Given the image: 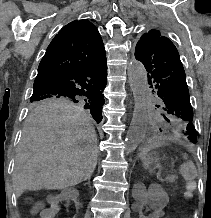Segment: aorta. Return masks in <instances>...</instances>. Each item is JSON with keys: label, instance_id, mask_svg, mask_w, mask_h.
Here are the masks:
<instances>
[{"label": "aorta", "instance_id": "aorta-1", "mask_svg": "<svg viewBox=\"0 0 211 218\" xmlns=\"http://www.w3.org/2000/svg\"><path fill=\"white\" fill-rule=\"evenodd\" d=\"M128 80L134 99V111L125 142L127 149L133 151L144 138L148 123L146 110L147 72L141 62L131 61L128 67Z\"/></svg>", "mask_w": 211, "mask_h": 218}]
</instances>
